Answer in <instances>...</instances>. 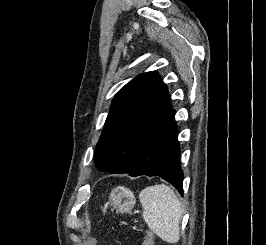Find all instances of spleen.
Returning a JSON list of instances; mask_svg holds the SVG:
<instances>
[{
  "label": "spleen",
  "instance_id": "1",
  "mask_svg": "<svg viewBox=\"0 0 266 245\" xmlns=\"http://www.w3.org/2000/svg\"><path fill=\"white\" fill-rule=\"evenodd\" d=\"M139 201L150 231L166 243H178L183 211L174 191L167 185H154L141 191Z\"/></svg>",
  "mask_w": 266,
  "mask_h": 245
}]
</instances>
